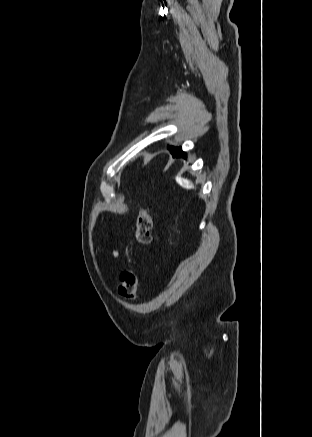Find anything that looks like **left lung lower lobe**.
<instances>
[{
    "label": "left lung lower lobe",
    "mask_w": 312,
    "mask_h": 437,
    "mask_svg": "<svg viewBox=\"0 0 312 437\" xmlns=\"http://www.w3.org/2000/svg\"><path fill=\"white\" fill-rule=\"evenodd\" d=\"M168 149H170L173 157H186V153L182 151L181 147L168 146Z\"/></svg>",
    "instance_id": "obj_1"
}]
</instances>
